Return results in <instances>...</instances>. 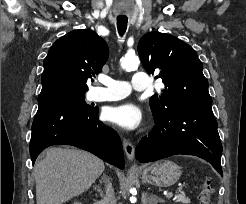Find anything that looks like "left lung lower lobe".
Wrapping results in <instances>:
<instances>
[{
	"instance_id": "0a47b994",
	"label": "left lung lower lobe",
	"mask_w": 246,
	"mask_h": 204,
	"mask_svg": "<svg viewBox=\"0 0 246 204\" xmlns=\"http://www.w3.org/2000/svg\"><path fill=\"white\" fill-rule=\"evenodd\" d=\"M178 154L203 158L223 176L222 144L211 106L173 108L166 116L155 119L153 131L142 139L135 151L140 162Z\"/></svg>"
}]
</instances>
